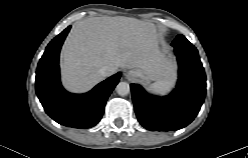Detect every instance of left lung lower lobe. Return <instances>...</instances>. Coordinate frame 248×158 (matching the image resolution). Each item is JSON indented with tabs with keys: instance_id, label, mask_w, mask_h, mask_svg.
<instances>
[{
	"instance_id": "left-lung-lower-lobe-1",
	"label": "left lung lower lobe",
	"mask_w": 248,
	"mask_h": 158,
	"mask_svg": "<svg viewBox=\"0 0 248 158\" xmlns=\"http://www.w3.org/2000/svg\"><path fill=\"white\" fill-rule=\"evenodd\" d=\"M172 46L179 64V78L170 95L152 96L140 85H130L136 116L151 131L184 128L196 117L205 98L206 76L197 49L188 40L175 39Z\"/></svg>"
}]
</instances>
